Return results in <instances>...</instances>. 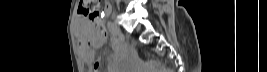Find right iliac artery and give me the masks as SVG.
Instances as JSON below:
<instances>
[{
	"mask_svg": "<svg viewBox=\"0 0 267 72\" xmlns=\"http://www.w3.org/2000/svg\"><path fill=\"white\" fill-rule=\"evenodd\" d=\"M108 29H109V31H110V33L112 35H115V30H114V27H113V23L108 22Z\"/></svg>",
	"mask_w": 267,
	"mask_h": 72,
	"instance_id": "obj_1",
	"label": "right iliac artery"
}]
</instances>
